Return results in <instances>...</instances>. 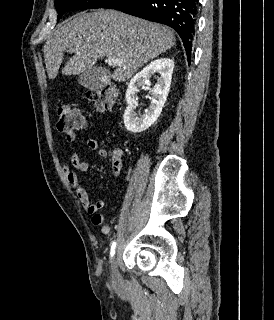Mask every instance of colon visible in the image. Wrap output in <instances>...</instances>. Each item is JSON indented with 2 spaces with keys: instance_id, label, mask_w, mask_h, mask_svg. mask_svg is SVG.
<instances>
[{
  "instance_id": "obj_1",
  "label": "colon",
  "mask_w": 274,
  "mask_h": 320,
  "mask_svg": "<svg viewBox=\"0 0 274 320\" xmlns=\"http://www.w3.org/2000/svg\"><path fill=\"white\" fill-rule=\"evenodd\" d=\"M113 87L103 86L98 90L86 92V99L92 102L99 110L106 111L113 104ZM57 117V129L66 136H71L77 131V124L80 120H86L81 111L67 103H60L55 108Z\"/></svg>"
}]
</instances>
